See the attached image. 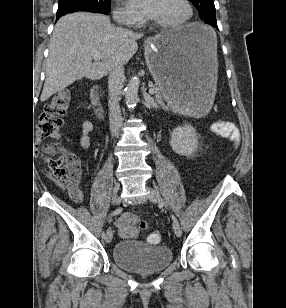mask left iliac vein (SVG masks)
Listing matches in <instances>:
<instances>
[{
    "mask_svg": "<svg viewBox=\"0 0 286 308\" xmlns=\"http://www.w3.org/2000/svg\"><path fill=\"white\" fill-rule=\"evenodd\" d=\"M147 191H148L147 197L151 202L159 203L168 208L166 202L161 198V196L157 193L155 189L147 187ZM173 231L177 237H181L182 235L181 226L174 216H173Z\"/></svg>",
    "mask_w": 286,
    "mask_h": 308,
    "instance_id": "4c4485c4",
    "label": "left iliac vein"
}]
</instances>
